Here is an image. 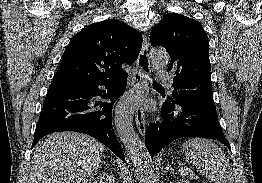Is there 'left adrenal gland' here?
<instances>
[{
    "label": "left adrenal gland",
    "mask_w": 262,
    "mask_h": 183,
    "mask_svg": "<svg viewBox=\"0 0 262 183\" xmlns=\"http://www.w3.org/2000/svg\"><path fill=\"white\" fill-rule=\"evenodd\" d=\"M167 170H171L173 172V169L171 167V165H167L165 168H164V172L167 171Z\"/></svg>",
    "instance_id": "1"
}]
</instances>
